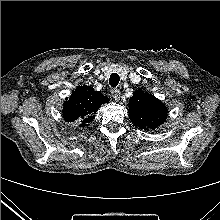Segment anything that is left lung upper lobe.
Segmentation results:
<instances>
[{
    "instance_id": "left-lung-upper-lobe-1",
    "label": "left lung upper lobe",
    "mask_w": 220,
    "mask_h": 220,
    "mask_svg": "<svg viewBox=\"0 0 220 220\" xmlns=\"http://www.w3.org/2000/svg\"><path fill=\"white\" fill-rule=\"evenodd\" d=\"M167 117L166 107L153 95L138 90L129 101V118L141 129H155Z\"/></svg>"
}]
</instances>
